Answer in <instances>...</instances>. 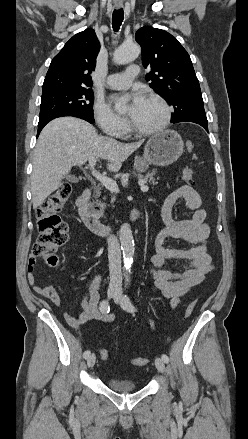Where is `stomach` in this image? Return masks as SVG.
Instances as JSON below:
<instances>
[{"mask_svg": "<svg viewBox=\"0 0 248 439\" xmlns=\"http://www.w3.org/2000/svg\"><path fill=\"white\" fill-rule=\"evenodd\" d=\"M183 149L184 143L181 136L173 130H167L153 135L147 141L143 159L153 165L167 166L182 155Z\"/></svg>", "mask_w": 248, "mask_h": 439, "instance_id": "0dacf381", "label": "stomach"}]
</instances>
